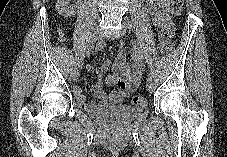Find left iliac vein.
I'll return each mask as SVG.
<instances>
[{
    "label": "left iliac vein",
    "instance_id": "1",
    "mask_svg": "<svg viewBox=\"0 0 227 157\" xmlns=\"http://www.w3.org/2000/svg\"><path fill=\"white\" fill-rule=\"evenodd\" d=\"M127 23L128 22L123 23V29L120 31L121 36H123L125 34V28L127 27ZM117 37H119V36H117ZM146 86H147V90L149 92H153L155 90V83L152 80L148 81Z\"/></svg>",
    "mask_w": 227,
    "mask_h": 157
}]
</instances>
